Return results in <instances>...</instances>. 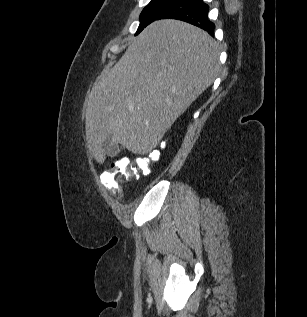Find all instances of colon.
<instances>
[{
	"mask_svg": "<svg viewBox=\"0 0 307 317\" xmlns=\"http://www.w3.org/2000/svg\"><path fill=\"white\" fill-rule=\"evenodd\" d=\"M164 146L165 143L160 142L157 149L150 151L145 156L136 157L133 160L121 158L113 161L109 170L100 177L103 187L108 192L120 196L122 194L120 182L148 174L151 164L158 160L159 151Z\"/></svg>",
	"mask_w": 307,
	"mask_h": 317,
	"instance_id": "colon-1",
	"label": "colon"
}]
</instances>
